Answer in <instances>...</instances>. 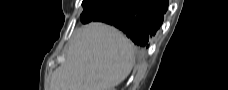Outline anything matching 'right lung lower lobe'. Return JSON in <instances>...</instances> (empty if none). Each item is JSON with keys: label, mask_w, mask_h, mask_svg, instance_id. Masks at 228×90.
<instances>
[{"label": "right lung lower lobe", "mask_w": 228, "mask_h": 90, "mask_svg": "<svg viewBox=\"0 0 228 90\" xmlns=\"http://www.w3.org/2000/svg\"><path fill=\"white\" fill-rule=\"evenodd\" d=\"M168 0H98L81 14V22L100 21L113 25L143 51L160 28Z\"/></svg>", "instance_id": "right-lung-lower-lobe-1"}]
</instances>
